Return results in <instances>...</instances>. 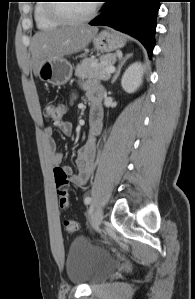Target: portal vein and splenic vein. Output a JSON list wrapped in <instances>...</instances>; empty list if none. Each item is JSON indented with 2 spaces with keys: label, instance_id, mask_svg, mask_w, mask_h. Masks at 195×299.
<instances>
[{
  "label": "portal vein and splenic vein",
  "instance_id": "1",
  "mask_svg": "<svg viewBox=\"0 0 195 299\" xmlns=\"http://www.w3.org/2000/svg\"><path fill=\"white\" fill-rule=\"evenodd\" d=\"M115 71V68L113 67V66H109V67H107L106 69H105V72L106 73H113Z\"/></svg>",
  "mask_w": 195,
  "mask_h": 299
}]
</instances>
